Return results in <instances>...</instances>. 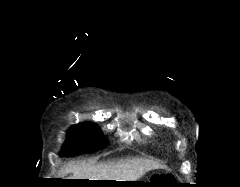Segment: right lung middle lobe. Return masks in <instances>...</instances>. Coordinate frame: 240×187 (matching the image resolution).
<instances>
[{"label":"right lung middle lobe","instance_id":"obj_1","mask_svg":"<svg viewBox=\"0 0 240 187\" xmlns=\"http://www.w3.org/2000/svg\"><path fill=\"white\" fill-rule=\"evenodd\" d=\"M106 146L101 132L90 123H80L68 131L61 155L71 157L83 153H92Z\"/></svg>","mask_w":240,"mask_h":187}]
</instances>
